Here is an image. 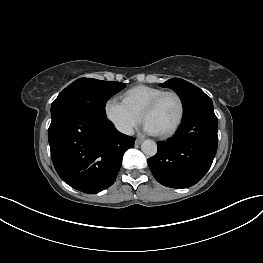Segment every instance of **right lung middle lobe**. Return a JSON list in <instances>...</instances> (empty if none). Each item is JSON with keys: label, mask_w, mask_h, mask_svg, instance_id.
Instances as JSON below:
<instances>
[{"label": "right lung middle lobe", "mask_w": 263, "mask_h": 263, "mask_svg": "<svg viewBox=\"0 0 263 263\" xmlns=\"http://www.w3.org/2000/svg\"><path fill=\"white\" fill-rule=\"evenodd\" d=\"M124 87L121 82L80 78L66 87L52 103V120L73 111L104 117L106 101Z\"/></svg>", "instance_id": "1"}]
</instances>
